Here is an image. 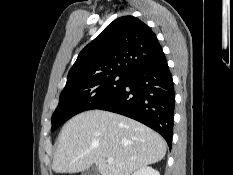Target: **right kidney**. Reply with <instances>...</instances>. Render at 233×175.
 I'll return each mask as SVG.
<instances>
[{
    "instance_id": "ca27d5eb",
    "label": "right kidney",
    "mask_w": 233,
    "mask_h": 175,
    "mask_svg": "<svg viewBox=\"0 0 233 175\" xmlns=\"http://www.w3.org/2000/svg\"><path fill=\"white\" fill-rule=\"evenodd\" d=\"M132 175H160L159 172L152 167L146 166L138 169Z\"/></svg>"
}]
</instances>
